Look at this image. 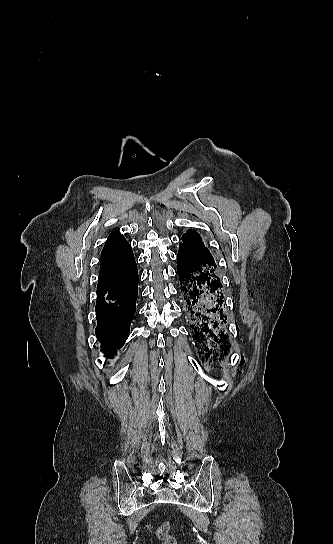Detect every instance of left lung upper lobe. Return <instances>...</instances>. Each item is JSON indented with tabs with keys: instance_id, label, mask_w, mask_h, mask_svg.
<instances>
[{
	"instance_id": "left-lung-upper-lobe-1",
	"label": "left lung upper lobe",
	"mask_w": 333,
	"mask_h": 544,
	"mask_svg": "<svg viewBox=\"0 0 333 544\" xmlns=\"http://www.w3.org/2000/svg\"><path fill=\"white\" fill-rule=\"evenodd\" d=\"M179 247H187L195 251L202 259L216 265L210 251L205 247L201 236L194 230L189 229L180 239ZM217 266V265H216Z\"/></svg>"
}]
</instances>
